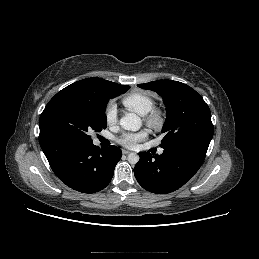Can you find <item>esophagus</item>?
Wrapping results in <instances>:
<instances>
[{
  "mask_svg": "<svg viewBox=\"0 0 259 259\" xmlns=\"http://www.w3.org/2000/svg\"><path fill=\"white\" fill-rule=\"evenodd\" d=\"M122 153H123L124 155H128V154L130 153V151L123 149V150H122Z\"/></svg>",
  "mask_w": 259,
  "mask_h": 259,
  "instance_id": "1",
  "label": "esophagus"
}]
</instances>
